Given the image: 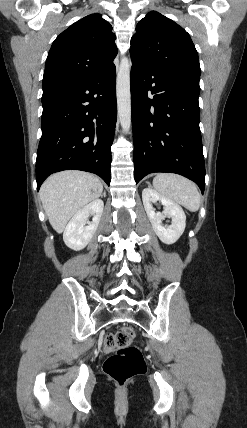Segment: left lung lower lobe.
I'll list each match as a JSON object with an SVG mask.
<instances>
[{
    "label": "left lung lower lobe",
    "instance_id": "obj_1",
    "mask_svg": "<svg viewBox=\"0 0 247 428\" xmlns=\"http://www.w3.org/2000/svg\"><path fill=\"white\" fill-rule=\"evenodd\" d=\"M130 85L135 182L149 173L171 172L194 181L203 193L199 90L136 60H132Z\"/></svg>",
    "mask_w": 247,
    "mask_h": 428
}]
</instances>
